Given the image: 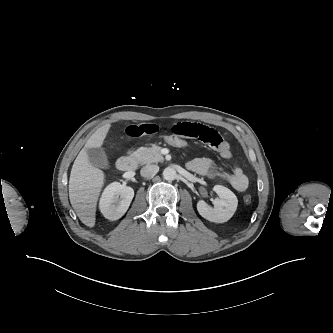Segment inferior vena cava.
Masks as SVG:
<instances>
[{"label": "inferior vena cava", "mask_w": 333, "mask_h": 333, "mask_svg": "<svg viewBox=\"0 0 333 333\" xmlns=\"http://www.w3.org/2000/svg\"><path fill=\"white\" fill-rule=\"evenodd\" d=\"M159 171V167L157 165H146L141 168L140 174L143 177H152L156 175Z\"/></svg>", "instance_id": "inferior-vena-cava-1"}]
</instances>
